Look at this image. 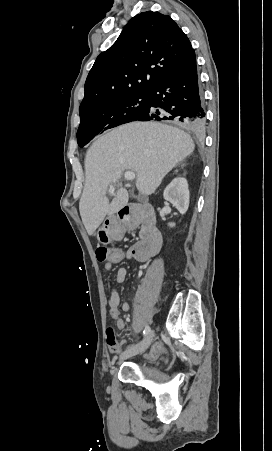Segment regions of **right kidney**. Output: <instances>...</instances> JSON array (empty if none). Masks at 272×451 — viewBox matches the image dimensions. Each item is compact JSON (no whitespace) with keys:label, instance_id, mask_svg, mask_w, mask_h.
<instances>
[{"label":"right kidney","instance_id":"obj_1","mask_svg":"<svg viewBox=\"0 0 272 451\" xmlns=\"http://www.w3.org/2000/svg\"><path fill=\"white\" fill-rule=\"evenodd\" d=\"M163 196L164 200L173 204L180 214H186L189 208L190 198L186 178H174L169 186L165 188ZM168 226L174 227L175 224L174 222H170Z\"/></svg>","mask_w":272,"mask_h":451}]
</instances>
